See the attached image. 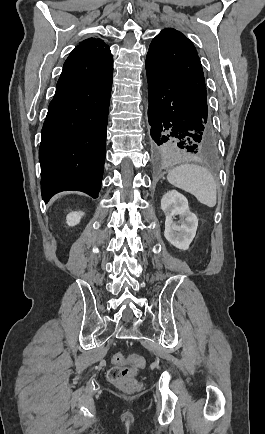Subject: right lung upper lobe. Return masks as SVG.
<instances>
[{
	"instance_id": "obj_1",
	"label": "right lung upper lobe",
	"mask_w": 265,
	"mask_h": 434,
	"mask_svg": "<svg viewBox=\"0 0 265 434\" xmlns=\"http://www.w3.org/2000/svg\"><path fill=\"white\" fill-rule=\"evenodd\" d=\"M80 45H89L100 49L108 48L106 44L100 39L89 38L80 43Z\"/></svg>"
}]
</instances>
